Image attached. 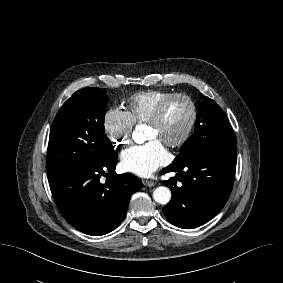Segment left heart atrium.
I'll use <instances>...</instances> for the list:
<instances>
[{
	"label": "left heart atrium",
	"mask_w": 283,
	"mask_h": 283,
	"mask_svg": "<svg viewBox=\"0 0 283 283\" xmlns=\"http://www.w3.org/2000/svg\"><path fill=\"white\" fill-rule=\"evenodd\" d=\"M169 159V154L162 142L149 140L142 145H135L121 154L124 170L139 176H150Z\"/></svg>",
	"instance_id": "obj_1"
}]
</instances>
